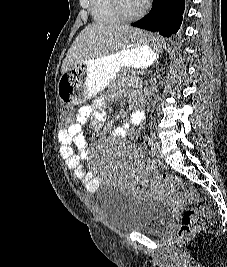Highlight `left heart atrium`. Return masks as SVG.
I'll return each mask as SVG.
<instances>
[{"label":"left heart atrium","mask_w":227,"mask_h":267,"mask_svg":"<svg viewBox=\"0 0 227 267\" xmlns=\"http://www.w3.org/2000/svg\"><path fill=\"white\" fill-rule=\"evenodd\" d=\"M138 1L140 2V4H141L142 6H144L145 3H146L148 0H138Z\"/></svg>","instance_id":"1"}]
</instances>
